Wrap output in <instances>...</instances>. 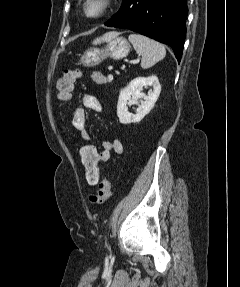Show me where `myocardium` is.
Here are the masks:
<instances>
[{
  "mask_svg": "<svg viewBox=\"0 0 240 287\" xmlns=\"http://www.w3.org/2000/svg\"><path fill=\"white\" fill-rule=\"evenodd\" d=\"M90 2H92V0H84V2H83L84 14L87 17L92 18V19H99L109 12V10L112 7L113 0H98V2L100 4V8H99L98 12H96L94 14H90L88 12V5Z\"/></svg>",
  "mask_w": 240,
  "mask_h": 287,
  "instance_id": "myocardium-1",
  "label": "myocardium"
}]
</instances>
